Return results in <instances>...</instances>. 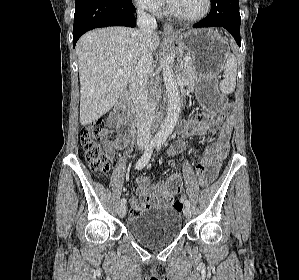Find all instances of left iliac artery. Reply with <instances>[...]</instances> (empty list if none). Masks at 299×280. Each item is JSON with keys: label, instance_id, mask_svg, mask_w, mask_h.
I'll list each match as a JSON object with an SVG mask.
<instances>
[{"label": "left iliac artery", "instance_id": "left-iliac-artery-1", "mask_svg": "<svg viewBox=\"0 0 299 280\" xmlns=\"http://www.w3.org/2000/svg\"><path fill=\"white\" fill-rule=\"evenodd\" d=\"M165 140L164 139H160L157 142V150H160L161 146L164 144ZM185 206L190 207V201L186 200L185 201Z\"/></svg>", "mask_w": 299, "mask_h": 280}]
</instances>
